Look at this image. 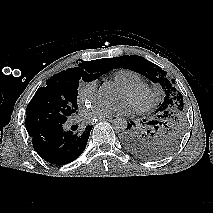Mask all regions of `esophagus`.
<instances>
[{
    "instance_id": "34e87169",
    "label": "esophagus",
    "mask_w": 213,
    "mask_h": 213,
    "mask_svg": "<svg viewBox=\"0 0 213 213\" xmlns=\"http://www.w3.org/2000/svg\"><path fill=\"white\" fill-rule=\"evenodd\" d=\"M117 118H114V117H107V118H103V119H99V121H102V120H107V121H113Z\"/></svg>"
}]
</instances>
